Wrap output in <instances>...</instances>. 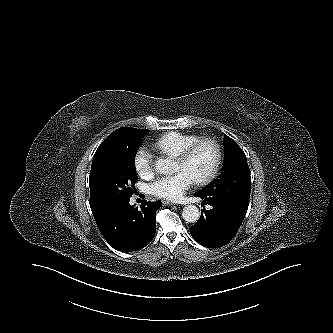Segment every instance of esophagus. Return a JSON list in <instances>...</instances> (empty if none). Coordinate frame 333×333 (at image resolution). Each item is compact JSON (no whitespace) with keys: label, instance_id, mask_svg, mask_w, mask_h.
Listing matches in <instances>:
<instances>
[{"label":"esophagus","instance_id":"1","mask_svg":"<svg viewBox=\"0 0 333 333\" xmlns=\"http://www.w3.org/2000/svg\"><path fill=\"white\" fill-rule=\"evenodd\" d=\"M162 204L167 206V205H175L174 203L167 201V200H162Z\"/></svg>","mask_w":333,"mask_h":333}]
</instances>
